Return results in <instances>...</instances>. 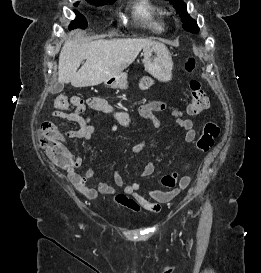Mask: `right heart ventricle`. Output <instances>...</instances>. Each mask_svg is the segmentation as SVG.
Listing matches in <instances>:
<instances>
[{"mask_svg": "<svg viewBox=\"0 0 261 273\" xmlns=\"http://www.w3.org/2000/svg\"><path fill=\"white\" fill-rule=\"evenodd\" d=\"M132 11L135 19L141 24L156 31L164 30V13L150 0H136Z\"/></svg>", "mask_w": 261, "mask_h": 273, "instance_id": "right-heart-ventricle-1", "label": "right heart ventricle"}]
</instances>
